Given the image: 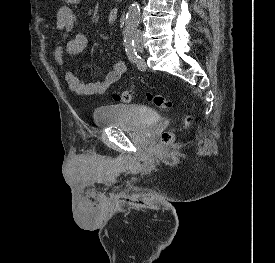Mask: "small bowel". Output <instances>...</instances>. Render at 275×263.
<instances>
[{"label": "small bowel", "instance_id": "1", "mask_svg": "<svg viewBox=\"0 0 275 263\" xmlns=\"http://www.w3.org/2000/svg\"><path fill=\"white\" fill-rule=\"evenodd\" d=\"M81 0H65V5L61 6L56 14V27L61 32L60 44L54 51L55 61L59 66H64V54H79L87 46V38L82 33H76L73 37L70 34L75 26L76 15L71 9V5L80 3ZM118 19V10L111 9L106 15L107 23H115ZM127 67L124 61H116L112 70L100 80L93 82H83L70 69L65 72V81L71 91L78 95L99 96L105 95L110 86L117 82L125 73Z\"/></svg>", "mask_w": 275, "mask_h": 263}]
</instances>
